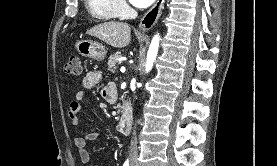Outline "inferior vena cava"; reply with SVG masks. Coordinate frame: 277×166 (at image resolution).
<instances>
[{"label": "inferior vena cava", "instance_id": "1", "mask_svg": "<svg viewBox=\"0 0 277 166\" xmlns=\"http://www.w3.org/2000/svg\"><path fill=\"white\" fill-rule=\"evenodd\" d=\"M133 139L131 140V145H130V156L134 157L137 154V140H136V131L134 130Z\"/></svg>", "mask_w": 277, "mask_h": 166}]
</instances>
